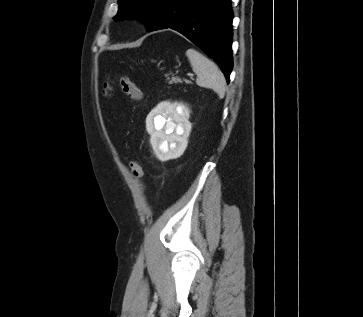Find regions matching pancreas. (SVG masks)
<instances>
[{"label": "pancreas", "instance_id": "1", "mask_svg": "<svg viewBox=\"0 0 363 317\" xmlns=\"http://www.w3.org/2000/svg\"><path fill=\"white\" fill-rule=\"evenodd\" d=\"M178 82H181V79L178 77H172V79L169 81L170 84L178 83Z\"/></svg>", "mask_w": 363, "mask_h": 317}]
</instances>
